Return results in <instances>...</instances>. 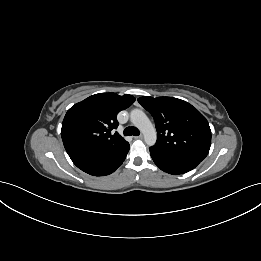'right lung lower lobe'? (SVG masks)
I'll return each instance as SVG.
<instances>
[{
	"label": "right lung lower lobe",
	"instance_id": "98d812e1",
	"mask_svg": "<svg viewBox=\"0 0 261 261\" xmlns=\"http://www.w3.org/2000/svg\"><path fill=\"white\" fill-rule=\"evenodd\" d=\"M128 151L129 143L118 148L83 149L68 155L82 171L93 176H105L120 167Z\"/></svg>",
	"mask_w": 261,
	"mask_h": 261
}]
</instances>
